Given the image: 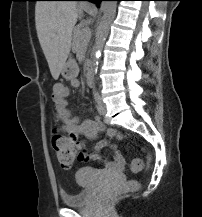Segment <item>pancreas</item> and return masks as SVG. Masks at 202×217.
Returning a JSON list of instances; mask_svg holds the SVG:
<instances>
[{
	"instance_id": "pancreas-1",
	"label": "pancreas",
	"mask_w": 202,
	"mask_h": 217,
	"mask_svg": "<svg viewBox=\"0 0 202 217\" xmlns=\"http://www.w3.org/2000/svg\"><path fill=\"white\" fill-rule=\"evenodd\" d=\"M91 38V31L88 28H76L73 34L72 50L80 53L85 50Z\"/></svg>"
}]
</instances>
